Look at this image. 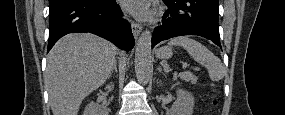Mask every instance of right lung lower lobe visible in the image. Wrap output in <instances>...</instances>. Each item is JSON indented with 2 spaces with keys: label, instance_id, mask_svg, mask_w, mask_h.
Masks as SVG:
<instances>
[{
  "label": "right lung lower lobe",
  "instance_id": "obj_1",
  "mask_svg": "<svg viewBox=\"0 0 285 115\" xmlns=\"http://www.w3.org/2000/svg\"><path fill=\"white\" fill-rule=\"evenodd\" d=\"M115 0H59L49 5L48 52L62 36L89 32L129 51L134 46L130 24L123 20Z\"/></svg>",
  "mask_w": 285,
  "mask_h": 115
}]
</instances>
